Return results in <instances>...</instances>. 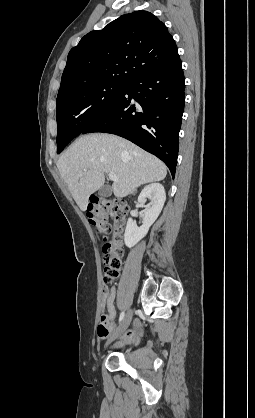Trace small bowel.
Masks as SVG:
<instances>
[{"label":"small bowel","mask_w":255,"mask_h":418,"mask_svg":"<svg viewBox=\"0 0 255 418\" xmlns=\"http://www.w3.org/2000/svg\"><path fill=\"white\" fill-rule=\"evenodd\" d=\"M103 295L104 300L102 304V314L106 316V321L104 329H101L98 326L97 336L99 339H105L109 336L111 337L117 330L115 325L116 310L114 305L116 292L114 289H109L107 286H104ZM135 336L136 332L135 330H132L128 332H122L115 339L118 338L119 342L121 343H129L135 338Z\"/></svg>","instance_id":"obj_1"}]
</instances>
